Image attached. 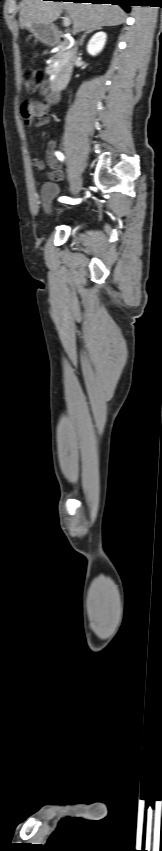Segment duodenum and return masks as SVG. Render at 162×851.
I'll return each instance as SVG.
<instances>
[{
	"mask_svg": "<svg viewBox=\"0 0 162 851\" xmlns=\"http://www.w3.org/2000/svg\"><path fill=\"white\" fill-rule=\"evenodd\" d=\"M57 40H67V38L63 33H58V35L56 36L54 41H57ZM71 72H72V69L68 68V69L63 71L61 77L56 78L53 81H50V83L51 82L55 83L54 87H51L50 83H49V87L52 89V94H55V92L57 90H62L65 86L68 85V83L71 81V76H70Z\"/></svg>",
	"mask_w": 162,
	"mask_h": 851,
	"instance_id": "duodenum-1",
	"label": "duodenum"
}]
</instances>
